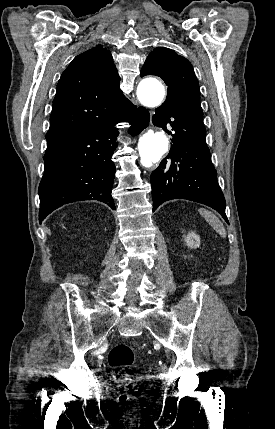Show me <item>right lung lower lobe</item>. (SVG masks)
<instances>
[{
	"label": "right lung lower lobe",
	"instance_id": "obj_1",
	"mask_svg": "<svg viewBox=\"0 0 275 429\" xmlns=\"http://www.w3.org/2000/svg\"><path fill=\"white\" fill-rule=\"evenodd\" d=\"M131 124L139 134L149 124V113L131 102L115 119L84 127L47 141L45 172L39 185V222L63 204L98 200L115 209L111 196L115 165L111 160L119 134L115 125Z\"/></svg>",
	"mask_w": 275,
	"mask_h": 429
}]
</instances>
